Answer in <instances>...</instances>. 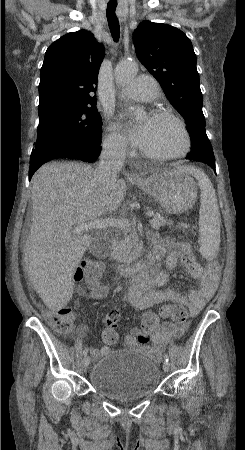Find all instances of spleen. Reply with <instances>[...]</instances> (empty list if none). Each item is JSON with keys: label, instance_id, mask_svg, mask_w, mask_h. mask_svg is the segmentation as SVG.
<instances>
[{"label": "spleen", "instance_id": "1", "mask_svg": "<svg viewBox=\"0 0 245 450\" xmlns=\"http://www.w3.org/2000/svg\"><path fill=\"white\" fill-rule=\"evenodd\" d=\"M182 170L196 178L201 190L199 210L200 253L207 259L217 257L220 246L221 217L217 197L208 176L195 167H183Z\"/></svg>", "mask_w": 245, "mask_h": 450}]
</instances>
